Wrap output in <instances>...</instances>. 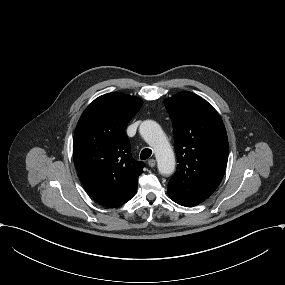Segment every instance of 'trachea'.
<instances>
[{
  "label": "trachea",
  "mask_w": 285,
  "mask_h": 285,
  "mask_svg": "<svg viewBox=\"0 0 285 285\" xmlns=\"http://www.w3.org/2000/svg\"><path fill=\"white\" fill-rule=\"evenodd\" d=\"M151 154H152V150L148 149V148H145V149L142 150L140 158L142 160L148 159L151 156Z\"/></svg>",
  "instance_id": "obj_1"
}]
</instances>
